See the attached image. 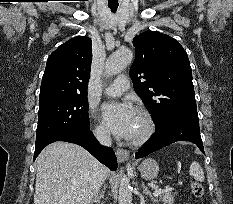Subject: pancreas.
<instances>
[{
  "mask_svg": "<svg viewBox=\"0 0 233 204\" xmlns=\"http://www.w3.org/2000/svg\"><path fill=\"white\" fill-rule=\"evenodd\" d=\"M160 200L164 202V204H174L175 202L173 195L169 191H163L160 194Z\"/></svg>",
  "mask_w": 233,
  "mask_h": 204,
  "instance_id": "1",
  "label": "pancreas"
}]
</instances>
